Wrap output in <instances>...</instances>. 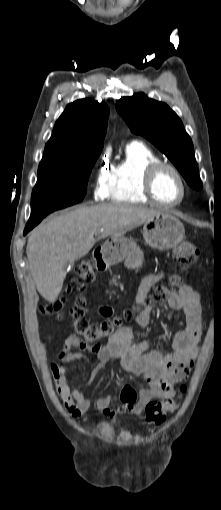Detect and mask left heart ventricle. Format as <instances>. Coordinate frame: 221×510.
Wrapping results in <instances>:
<instances>
[{"instance_id":"b2bd125f","label":"left heart ventricle","mask_w":221,"mask_h":510,"mask_svg":"<svg viewBox=\"0 0 221 510\" xmlns=\"http://www.w3.org/2000/svg\"><path fill=\"white\" fill-rule=\"evenodd\" d=\"M154 191L157 198L166 203L178 201L182 194L179 180L168 169H163L157 175L154 182Z\"/></svg>"}]
</instances>
